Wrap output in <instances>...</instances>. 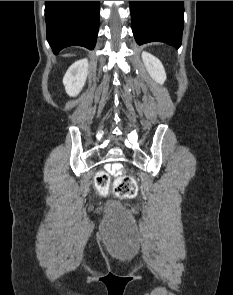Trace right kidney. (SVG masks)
Here are the masks:
<instances>
[{
	"mask_svg": "<svg viewBox=\"0 0 233 295\" xmlns=\"http://www.w3.org/2000/svg\"><path fill=\"white\" fill-rule=\"evenodd\" d=\"M87 74V59L78 60L69 67L63 78V84L69 96H76L81 92L85 85Z\"/></svg>",
	"mask_w": 233,
	"mask_h": 295,
	"instance_id": "obj_1",
	"label": "right kidney"
}]
</instances>
